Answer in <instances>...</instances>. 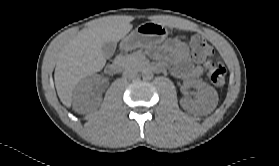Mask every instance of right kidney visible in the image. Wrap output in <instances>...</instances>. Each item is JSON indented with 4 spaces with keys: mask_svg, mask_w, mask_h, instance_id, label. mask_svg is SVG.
Segmentation results:
<instances>
[{
    "mask_svg": "<svg viewBox=\"0 0 279 166\" xmlns=\"http://www.w3.org/2000/svg\"><path fill=\"white\" fill-rule=\"evenodd\" d=\"M100 79L98 77L87 78L81 82V84L75 90V100L79 104H83L85 107L93 99L92 88L95 84H98Z\"/></svg>",
    "mask_w": 279,
    "mask_h": 166,
    "instance_id": "right-kidney-1",
    "label": "right kidney"
}]
</instances>
